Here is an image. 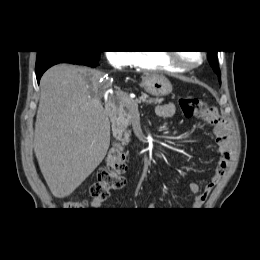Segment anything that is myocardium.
I'll use <instances>...</instances> for the list:
<instances>
[{
	"mask_svg": "<svg viewBox=\"0 0 260 260\" xmlns=\"http://www.w3.org/2000/svg\"><path fill=\"white\" fill-rule=\"evenodd\" d=\"M167 59L169 60V62L181 69V70H191V69H194L196 67H198L204 60L205 58V54L204 52L200 51L199 52V55H200V58L198 61L196 62H193V63H187V62H184L181 60L180 56H179V53L178 52H175V51H168L165 53Z\"/></svg>",
	"mask_w": 260,
	"mask_h": 260,
	"instance_id": "f54148a6",
	"label": "myocardium"
}]
</instances>
